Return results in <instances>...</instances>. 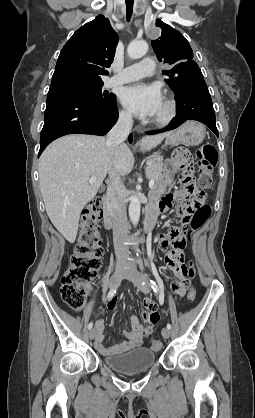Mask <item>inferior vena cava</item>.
Instances as JSON below:
<instances>
[{
	"label": "inferior vena cava",
	"instance_id": "1",
	"mask_svg": "<svg viewBox=\"0 0 255 418\" xmlns=\"http://www.w3.org/2000/svg\"><path fill=\"white\" fill-rule=\"evenodd\" d=\"M133 125L132 116L121 113L115 126L110 130L106 146L114 151L129 135ZM107 207L113 223V243L118 260L128 257V248L124 244L128 234V223L125 206V188L118 175H114L107 187Z\"/></svg>",
	"mask_w": 255,
	"mask_h": 418
}]
</instances>
